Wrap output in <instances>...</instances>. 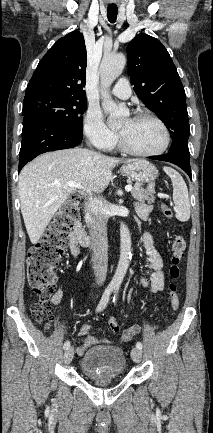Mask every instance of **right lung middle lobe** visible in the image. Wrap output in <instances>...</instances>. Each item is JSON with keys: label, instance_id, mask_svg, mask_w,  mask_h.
Returning <instances> with one entry per match:
<instances>
[{"label": "right lung middle lobe", "instance_id": "1", "mask_svg": "<svg viewBox=\"0 0 213 433\" xmlns=\"http://www.w3.org/2000/svg\"><path fill=\"white\" fill-rule=\"evenodd\" d=\"M86 108V98L37 94L24 98L23 116L38 115L77 135H82V115Z\"/></svg>", "mask_w": 213, "mask_h": 433}]
</instances>
